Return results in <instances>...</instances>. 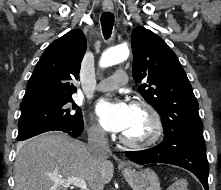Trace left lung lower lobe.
I'll list each match as a JSON object with an SVG mask.
<instances>
[{"label":"left lung lower lobe","mask_w":221,"mask_h":190,"mask_svg":"<svg viewBox=\"0 0 221 190\" xmlns=\"http://www.w3.org/2000/svg\"><path fill=\"white\" fill-rule=\"evenodd\" d=\"M164 135V140L158 146L137 152L127 151L125 155L137 164L166 163L183 167L196 175L208 190L206 147L193 143L181 144L171 132H164Z\"/></svg>","instance_id":"1"}]
</instances>
